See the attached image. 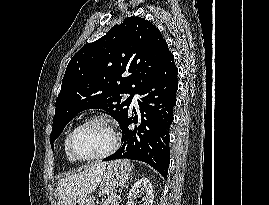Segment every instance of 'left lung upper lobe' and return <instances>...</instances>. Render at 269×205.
<instances>
[{
  "label": "left lung upper lobe",
  "instance_id": "left-lung-upper-lobe-1",
  "mask_svg": "<svg viewBox=\"0 0 269 205\" xmlns=\"http://www.w3.org/2000/svg\"><path fill=\"white\" fill-rule=\"evenodd\" d=\"M171 54L160 31L148 20L128 17L70 60L56 99L50 143L78 113L100 108L120 124L132 98L158 73ZM130 94L124 100L122 97Z\"/></svg>",
  "mask_w": 269,
  "mask_h": 205
}]
</instances>
